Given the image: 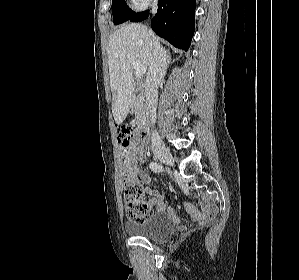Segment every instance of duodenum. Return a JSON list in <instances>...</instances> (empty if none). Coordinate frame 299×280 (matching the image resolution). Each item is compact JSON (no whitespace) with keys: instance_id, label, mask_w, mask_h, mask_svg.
I'll return each instance as SVG.
<instances>
[{"instance_id":"duodenum-1","label":"duodenum","mask_w":299,"mask_h":280,"mask_svg":"<svg viewBox=\"0 0 299 280\" xmlns=\"http://www.w3.org/2000/svg\"><path fill=\"white\" fill-rule=\"evenodd\" d=\"M138 134L140 139L145 140L149 135V126L147 123L143 122L139 126Z\"/></svg>"}]
</instances>
